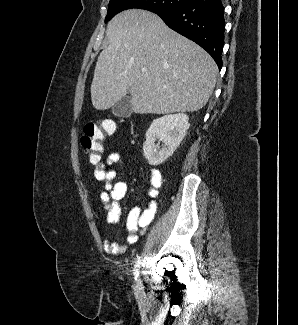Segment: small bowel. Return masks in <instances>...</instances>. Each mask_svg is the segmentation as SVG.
Segmentation results:
<instances>
[{"mask_svg": "<svg viewBox=\"0 0 298 325\" xmlns=\"http://www.w3.org/2000/svg\"><path fill=\"white\" fill-rule=\"evenodd\" d=\"M123 162L122 156L119 153H110L105 160L99 159L95 163L94 176L98 181L105 183L103 190L100 193V199L103 204V209L106 213V220L109 226L114 225L120 215V202L127 192V184L123 181L113 183L116 177L115 166L121 165ZM162 185V174L152 168L149 171V186L147 188L148 200L144 210L139 206L131 208L127 218V242L134 244L137 242L139 235L148 228L153 221L156 210V197L159 193V188ZM106 252L111 254H119L125 251V246L110 240H105L103 243Z\"/></svg>", "mask_w": 298, "mask_h": 325, "instance_id": "c3829d8e", "label": "small bowel"}]
</instances>
